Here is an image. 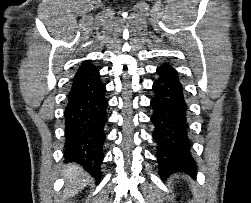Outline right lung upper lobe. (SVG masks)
<instances>
[{"mask_svg": "<svg viewBox=\"0 0 251 203\" xmlns=\"http://www.w3.org/2000/svg\"><path fill=\"white\" fill-rule=\"evenodd\" d=\"M91 61H84L81 66L78 68L74 77L82 73L83 71L87 70L88 68L92 67Z\"/></svg>", "mask_w": 251, "mask_h": 203, "instance_id": "obj_1", "label": "right lung upper lobe"}]
</instances>
